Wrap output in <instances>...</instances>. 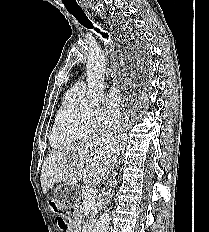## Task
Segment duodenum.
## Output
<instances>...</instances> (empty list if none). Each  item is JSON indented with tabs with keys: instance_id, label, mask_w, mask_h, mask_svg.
Returning a JSON list of instances; mask_svg holds the SVG:
<instances>
[{
	"instance_id": "obj_1",
	"label": "duodenum",
	"mask_w": 209,
	"mask_h": 232,
	"mask_svg": "<svg viewBox=\"0 0 209 232\" xmlns=\"http://www.w3.org/2000/svg\"><path fill=\"white\" fill-rule=\"evenodd\" d=\"M88 232H96V231H95V226H94V224H91V225L89 226Z\"/></svg>"
}]
</instances>
